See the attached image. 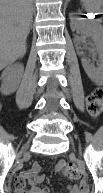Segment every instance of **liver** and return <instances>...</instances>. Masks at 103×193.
Here are the masks:
<instances>
[{
  "label": "liver",
  "instance_id": "liver-1",
  "mask_svg": "<svg viewBox=\"0 0 103 193\" xmlns=\"http://www.w3.org/2000/svg\"><path fill=\"white\" fill-rule=\"evenodd\" d=\"M0 12V68L3 69L26 53V39L33 18L32 2L1 0Z\"/></svg>",
  "mask_w": 103,
  "mask_h": 193
}]
</instances>
